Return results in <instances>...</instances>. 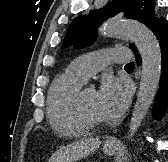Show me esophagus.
I'll return each mask as SVG.
<instances>
[{
  "label": "esophagus",
  "instance_id": "34e87169",
  "mask_svg": "<svg viewBox=\"0 0 168 162\" xmlns=\"http://www.w3.org/2000/svg\"><path fill=\"white\" fill-rule=\"evenodd\" d=\"M106 142H107V143H115V139H113V138H108V139L106 140Z\"/></svg>",
  "mask_w": 168,
  "mask_h": 162
}]
</instances>
